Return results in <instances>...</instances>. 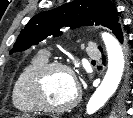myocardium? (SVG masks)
Listing matches in <instances>:
<instances>
[{
    "label": "myocardium",
    "mask_w": 133,
    "mask_h": 118,
    "mask_svg": "<svg viewBox=\"0 0 133 118\" xmlns=\"http://www.w3.org/2000/svg\"><path fill=\"white\" fill-rule=\"evenodd\" d=\"M54 70H64L74 77L72 68L60 61L47 62L31 73L26 83V92L29 101L37 110L48 113H65L73 109L80 100V92L76 89L75 97L67 104L52 106L46 103L42 96V85L45 77Z\"/></svg>",
    "instance_id": "myocardium-1"
}]
</instances>
